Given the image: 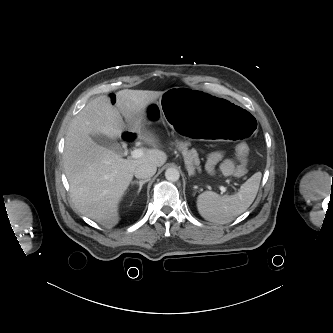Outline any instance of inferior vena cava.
<instances>
[{
  "instance_id": "602c4592",
  "label": "inferior vena cava",
  "mask_w": 333,
  "mask_h": 333,
  "mask_svg": "<svg viewBox=\"0 0 333 333\" xmlns=\"http://www.w3.org/2000/svg\"><path fill=\"white\" fill-rule=\"evenodd\" d=\"M156 170L155 165L144 163L136 167L134 175L139 179H150L156 173Z\"/></svg>"
}]
</instances>
